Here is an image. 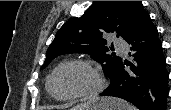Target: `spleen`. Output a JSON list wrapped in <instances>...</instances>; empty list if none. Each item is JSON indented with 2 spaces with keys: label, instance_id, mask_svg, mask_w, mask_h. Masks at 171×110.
I'll return each instance as SVG.
<instances>
[{
  "label": "spleen",
  "instance_id": "3e777b00",
  "mask_svg": "<svg viewBox=\"0 0 171 110\" xmlns=\"http://www.w3.org/2000/svg\"><path fill=\"white\" fill-rule=\"evenodd\" d=\"M125 110H136V108L130 104L124 102V106L122 107Z\"/></svg>",
  "mask_w": 171,
  "mask_h": 110
}]
</instances>
